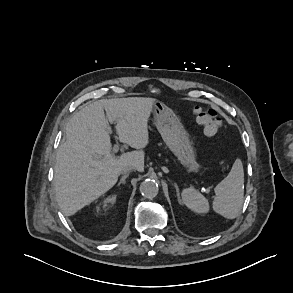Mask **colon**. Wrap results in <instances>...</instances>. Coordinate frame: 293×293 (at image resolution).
Masks as SVG:
<instances>
[{
    "mask_svg": "<svg viewBox=\"0 0 293 293\" xmlns=\"http://www.w3.org/2000/svg\"><path fill=\"white\" fill-rule=\"evenodd\" d=\"M193 113L207 136H216L220 132L222 119L215 109L196 106Z\"/></svg>",
    "mask_w": 293,
    "mask_h": 293,
    "instance_id": "5ec220e1",
    "label": "colon"
}]
</instances>
